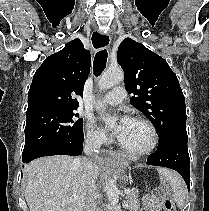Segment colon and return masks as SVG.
Wrapping results in <instances>:
<instances>
[{"instance_id":"1","label":"colon","mask_w":209,"mask_h":211,"mask_svg":"<svg viewBox=\"0 0 209 211\" xmlns=\"http://www.w3.org/2000/svg\"><path fill=\"white\" fill-rule=\"evenodd\" d=\"M165 211H176V206L171 198H165L164 200Z\"/></svg>"}]
</instances>
